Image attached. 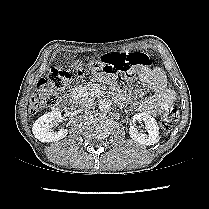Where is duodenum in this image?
<instances>
[{
	"label": "duodenum",
	"instance_id": "1",
	"mask_svg": "<svg viewBox=\"0 0 209 209\" xmlns=\"http://www.w3.org/2000/svg\"><path fill=\"white\" fill-rule=\"evenodd\" d=\"M75 102H76V96L74 94L67 95L62 99L63 105L70 108L74 107Z\"/></svg>",
	"mask_w": 209,
	"mask_h": 209
}]
</instances>
